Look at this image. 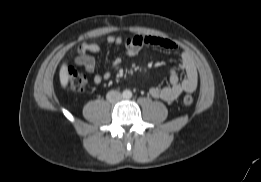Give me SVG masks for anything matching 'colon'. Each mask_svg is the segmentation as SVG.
<instances>
[{
	"label": "colon",
	"mask_w": 261,
	"mask_h": 182,
	"mask_svg": "<svg viewBox=\"0 0 261 182\" xmlns=\"http://www.w3.org/2000/svg\"><path fill=\"white\" fill-rule=\"evenodd\" d=\"M66 74H67V85L71 91L84 92L87 89L88 78L86 77V75L72 68H68ZM193 101H194L193 97L189 94L183 97V103L186 106L191 105Z\"/></svg>",
	"instance_id": "5ec220e1"
}]
</instances>
